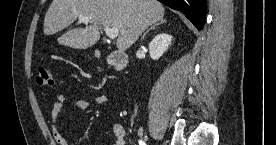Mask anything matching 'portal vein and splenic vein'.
<instances>
[{
  "label": "portal vein and splenic vein",
  "mask_w": 276,
  "mask_h": 145,
  "mask_svg": "<svg viewBox=\"0 0 276 145\" xmlns=\"http://www.w3.org/2000/svg\"><path fill=\"white\" fill-rule=\"evenodd\" d=\"M91 17L88 16H80L78 17V20L80 22L83 23H89L91 21ZM104 30L106 32V35L110 38V39H115L118 34H119V30L115 27H110V26H104Z\"/></svg>",
  "instance_id": "obj_1"
}]
</instances>
